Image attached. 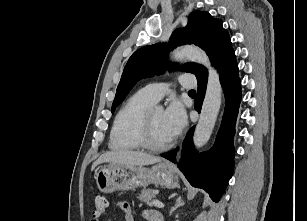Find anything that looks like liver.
Wrapping results in <instances>:
<instances>
[{
  "mask_svg": "<svg viewBox=\"0 0 307 221\" xmlns=\"http://www.w3.org/2000/svg\"><path fill=\"white\" fill-rule=\"evenodd\" d=\"M160 157H156L144 152L132 150H116L102 154L92 165L91 170L102 163H114L125 166H144L161 162Z\"/></svg>",
  "mask_w": 307,
  "mask_h": 221,
  "instance_id": "1",
  "label": "liver"
}]
</instances>
